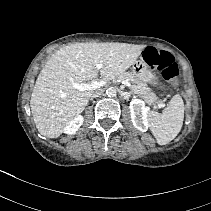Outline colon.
Instances as JSON below:
<instances>
[{"label":"colon","instance_id":"colon-1","mask_svg":"<svg viewBox=\"0 0 211 211\" xmlns=\"http://www.w3.org/2000/svg\"><path fill=\"white\" fill-rule=\"evenodd\" d=\"M144 58L149 65L159 70L163 77L172 85L177 84L179 67L171 54L149 47L144 52Z\"/></svg>","mask_w":211,"mask_h":211}]
</instances>
